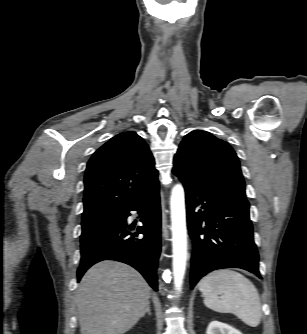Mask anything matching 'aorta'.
I'll use <instances>...</instances> for the list:
<instances>
[{
  "instance_id": "obj_1",
  "label": "aorta",
  "mask_w": 307,
  "mask_h": 334,
  "mask_svg": "<svg viewBox=\"0 0 307 334\" xmlns=\"http://www.w3.org/2000/svg\"><path fill=\"white\" fill-rule=\"evenodd\" d=\"M174 286L182 289L187 262L185 193L181 184L173 187L170 198Z\"/></svg>"
}]
</instances>
